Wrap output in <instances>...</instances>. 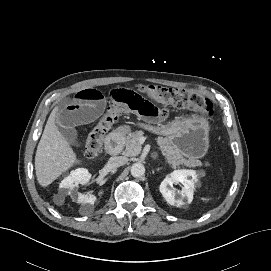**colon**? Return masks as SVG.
I'll use <instances>...</instances> for the list:
<instances>
[{
	"instance_id": "5ec220e1",
	"label": "colon",
	"mask_w": 271,
	"mask_h": 271,
	"mask_svg": "<svg viewBox=\"0 0 271 271\" xmlns=\"http://www.w3.org/2000/svg\"><path fill=\"white\" fill-rule=\"evenodd\" d=\"M141 92L163 104H170L177 108L188 107L200 112L205 117L213 115L211 101L194 92L161 86L144 87L141 89ZM121 113H123V108L112 104L90 131L85 145V156L88 159L96 158L100 154L106 133Z\"/></svg>"
}]
</instances>
